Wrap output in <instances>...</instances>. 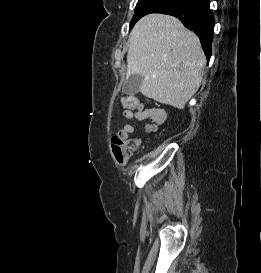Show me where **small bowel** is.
<instances>
[{"instance_id": "1", "label": "small bowel", "mask_w": 261, "mask_h": 273, "mask_svg": "<svg viewBox=\"0 0 261 273\" xmlns=\"http://www.w3.org/2000/svg\"><path fill=\"white\" fill-rule=\"evenodd\" d=\"M123 116L127 120L137 119L139 121H147L145 129L147 132H156L166 121V113L161 108L143 109L141 113H137L130 108L125 107ZM124 132L131 134L134 127L130 124L124 126Z\"/></svg>"}]
</instances>
